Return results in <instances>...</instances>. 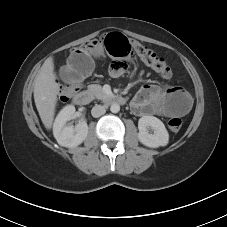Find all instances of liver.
<instances>
[{
  "instance_id": "1",
  "label": "liver",
  "mask_w": 227,
  "mask_h": 227,
  "mask_svg": "<svg viewBox=\"0 0 227 227\" xmlns=\"http://www.w3.org/2000/svg\"><path fill=\"white\" fill-rule=\"evenodd\" d=\"M59 83L54 72L53 58L43 63L34 80V101L39 116L46 129H51L55 115Z\"/></svg>"
}]
</instances>
